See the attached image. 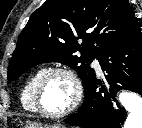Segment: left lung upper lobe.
<instances>
[{"instance_id":"1","label":"left lung upper lobe","mask_w":142,"mask_h":128,"mask_svg":"<svg viewBox=\"0 0 142 128\" xmlns=\"http://www.w3.org/2000/svg\"><path fill=\"white\" fill-rule=\"evenodd\" d=\"M137 27L127 0H46L19 35L8 80L37 64L60 62L76 70L85 89L95 74L90 62Z\"/></svg>"}]
</instances>
